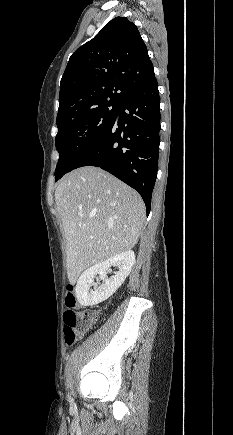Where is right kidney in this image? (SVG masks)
Listing matches in <instances>:
<instances>
[{
  "label": "right kidney",
  "mask_w": 233,
  "mask_h": 435,
  "mask_svg": "<svg viewBox=\"0 0 233 435\" xmlns=\"http://www.w3.org/2000/svg\"><path fill=\"white\" fill-rule=\"evenodd\" d=\"M134 263L135 254L132 250H128L88 268L80 275L77 281L75 287L77 301L82 306H93L105 301L123 284ZM111 266H117L119 271L115 272V275L108 279L106 274ZM97 274L104 282L99 287L97 283H94V278ZM91 286H94V290L90 289Z\"/></svg>",
  "instance_id": "obj_1"
}]
</instances>
